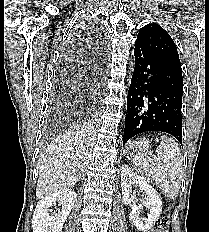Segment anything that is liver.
I'll return each mask as SVG.
<instances>
[{"label":"liver","mask_w":209,"mask_h":232,"mask_svg":"<svg viewBox=\"0 0 209 232\" xmlns=\"http://www.w3.org/2000/svg\"><path fill=\"white\" fill-rule=\"evenodd\" d=\"M91 134L89 125H79L48 145L39 159L38 199L70 188L81 178L88 166Z\"/></svg>","instance_id":"liver-1"}]
</instances>
